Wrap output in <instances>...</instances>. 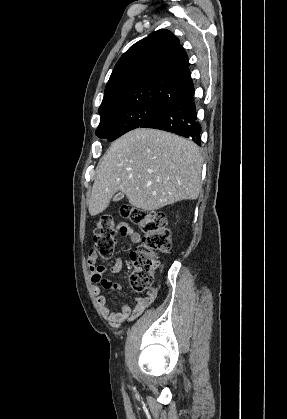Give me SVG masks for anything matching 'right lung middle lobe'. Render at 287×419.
<instances>
[{"label": "right lung middle lobe", "instance_id": "right-lung-middle-lobe-1", "mask_svg": "<svg viewBox=\"0 0 287 419\" xmlns=\"http://www.w3.org/2000/svg\"><path fill=\"white\" fill-rule=\"evenodd\" d=\"M165 105L164 103L140 102L100 114L101 120L96 135L99 138L113 141L126 132L140 127Z\"/></svg>", "mask_w": 287, "mask_h": 419}]
</instances>
